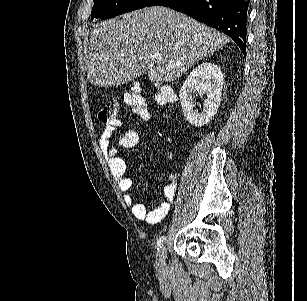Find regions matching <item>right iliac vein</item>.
I'll list each match as a JSON object with an SVG mask.
<instances>
[{
    "label": "right iliac vein",
    "mask_w": 307,
    "mask_h": 301,
    "mask_svg": "<svg viewBox=\"0 0 307 301\" xmlns=\"http://www.w3.org/2000/svg\"><path fill=\"white\" fill-rule=\"evenodd\" d=\"M166 247L161 246L160 249L158 250L157 257H156V263L155 266L159 271H162L166 267Z\"/></svg>",
    "instance_id": "obj_1"
}]
</instances>
